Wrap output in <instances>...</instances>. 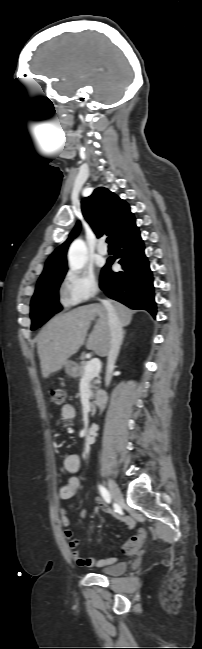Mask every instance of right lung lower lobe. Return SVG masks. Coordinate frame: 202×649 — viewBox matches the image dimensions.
Returning a JSON list of instances; mask_svg holds the SVG:
<instances>
[{"mask_svg":"<svg viewBox=\"0 0 202 649\" xmlns=\"http://www.w3.org/2000/svg\"><path fill=\"white\" fill-rule=\"evenodd\" d=\"M115 242L116 253L107 260L100 277V288L105 294L132 309H144L155 317L152 271L144 254V243L136 228ZM115 260L122 265V271L112 272Z\"/></svg>","mask_w":202,"mask_h":649,"instance_id":"obj_1","label":"right lung lower lobe"}]
</instances>
